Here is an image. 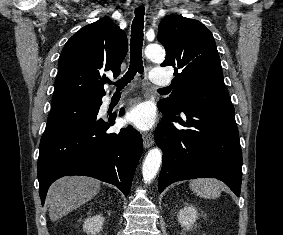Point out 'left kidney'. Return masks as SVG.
<instances>
[{
    "label": "left kidney",
    "mask_w": 283,
    "mask_h": 235,
    "mask_svg": "<svg viewBox=\"0 0 283 235\" xmlns=\"http://www.w3.org/2000/svg\"><path fill=\"white\" fill-rule=\"evenodd\" d=\"M197 218H198L197 210L192 205L184 207L178 213V222L181 224L182 227H184L187 230L192 228Z\"/></svg>",
    "instance_id": "5707ae66"
}]
</instances>
